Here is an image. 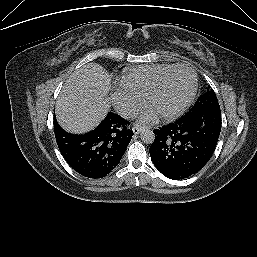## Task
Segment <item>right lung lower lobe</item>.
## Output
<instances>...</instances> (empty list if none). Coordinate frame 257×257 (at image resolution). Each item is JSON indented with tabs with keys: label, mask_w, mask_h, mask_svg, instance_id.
Listing matches in <instances>:
<instances>
[{
	"label": "right lung lower lobe",
	"mask_w": 257,
	"mask_h": 257,
	"mask_svg": "<svg viewBox=\"0 0 257 257\" xmlns=\"http://www.w3.org/2000/svg\"><path fill=\"white\" fill-rule=\"evenodd\" d=\"M55 118V117H54ZM130 123L109 112L93 131L73 135L64 131L54 120L55 138L67 163L79 174L88 178H102L120 162L133 131Z\"/></svg>",
	"instance_id": "right-lung-lower-lobe-1"
}]
</instances>
